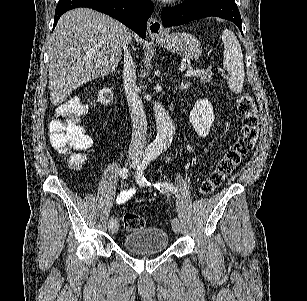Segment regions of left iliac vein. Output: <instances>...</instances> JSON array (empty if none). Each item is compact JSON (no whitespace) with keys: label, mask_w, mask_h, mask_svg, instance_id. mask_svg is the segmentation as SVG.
Returning a JSON list of instances; mask_svg holds the SVG:
<instances>
[{"label":"left iliac vein","mask_w":307,"mask_h":301,"mask_svg":"<svg viewBox=\"0 0 307 301\" xmlns=\"http://www.w3.org/2000/svg\"><path fill=\"white\" fill-rule=\"evenodd\" d=\"M172 228L176 234H179L181 231V222L179 217H173L172 219Z\"/></svg>","instance_id":"left-iliac-vein-1"}]
</instances>
